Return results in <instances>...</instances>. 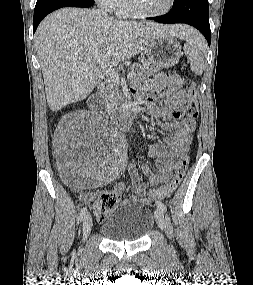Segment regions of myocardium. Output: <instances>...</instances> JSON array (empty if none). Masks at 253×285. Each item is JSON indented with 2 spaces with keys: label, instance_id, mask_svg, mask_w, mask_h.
<instances>
[{
  "label": "myocardium",
  "instance_id": "obj_1",
  "mask_svg": "<svg viewBox=\"0 0 253 285\" xmlns=\"http://www.w3.org/2000/svg\"><path fill=\"white\" fill-rule=\"evenodd\" d=\"M126 1H127V5H128V8L131 14L138 18H156V17L166 15L173 9V7L175 6V2H176V0H170L169 5L163 11L155 12V13H148V12L141 11L138 8L135 0H126Z\"/></svg>",
  "mask_w": 253,
  "mask_h": 285
}]
</instances>
